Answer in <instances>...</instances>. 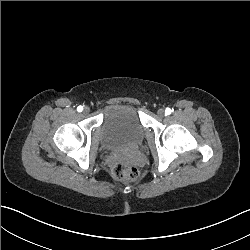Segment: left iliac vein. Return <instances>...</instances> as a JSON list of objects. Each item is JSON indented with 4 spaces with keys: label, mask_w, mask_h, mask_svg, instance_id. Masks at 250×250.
Instances as JSON below:
<instances>
[{
    "label": "left iliac vein",
    "mask_w": 250,
    "mask_h": 250,
    "mask_svg": "<svg viewBox=\"0 0 250 250\" xmlns=\"http://www.w3.org/2000/svg\"><path fill=\"white\" fill-rule=\"evenodd\" d=\"M157 114H158V116H160V117H163L164 115H165V111H164V109H159L158 111H157Z\"/></svg>",
    "instance_id": "left-iliac-vein-1"
}]
</instances>
